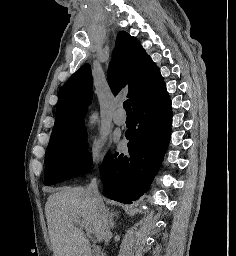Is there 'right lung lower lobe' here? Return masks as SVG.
Wrapping results in <instances>:
<instances>
[{"label": "right lung lower lobe", "instance_id": "98d812e1", "mask_svg": "<svg viewBox=\"0 0 236 256\" xmlns=\"http://www.w3.org/2000/svg\"><path fill=\"white\" fill-rule=\"evenodd\" d=\"M132 107L134 124L125 134L128 153L107 155L100 167L107 196L126 204L148 190L169 144L172 110L165 83Z\"/></svg>", "mask_w": 236, "mask_h": 256}]
</instances>
